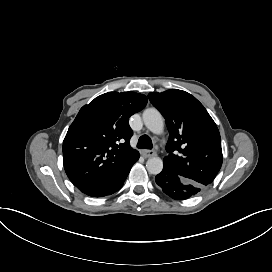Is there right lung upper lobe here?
Returning a JSON list of instances; mask_svg holds the SVG:
<instances>
[{"label": "right lung upper lobe", "instance_id": "right-lung-upper-lobe-1", "mask_svg": "<svg viewBox=\"0 0 272 272\" xmlns=\"http://www.w3.org/2000/svg\"><path fill=\"white\" fill-rule=\"evenodd\" d=\"M146 104L143 94L109 92L80 109L63 142L64 168L76 187L109 176L139 155L129 144V117Z\"/></svg>", "mask_w": 272, "mask_h": 272}]
</instances>
